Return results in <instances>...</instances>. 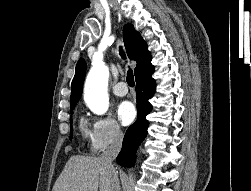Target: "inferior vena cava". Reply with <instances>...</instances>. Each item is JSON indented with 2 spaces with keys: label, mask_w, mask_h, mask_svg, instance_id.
<instances>
[{
  "label": "inferior vena cava",
  "mask_w": 251,
  "mask_h": 191,
  "mask_svg": "<svg viewBox=\"0 0 251 191\" xmlns=\"http://www.w3.org/2000/svg\"><path fill=\"white\" fill-rule=\"evenodd\" d=\"M122 139H123V133L119 125H117L116 123L112 131L111 145H109L108 149H106V151H103L101 155L102 161H105V163H107V165H111V167H113L112 165L113 159L117 157L122 147ZM113 181H115V183H118L119 185V179H118L117 171H115V169H113Z\"/></svg>",
  "instance_id": "obj_1"
}]
</instances>
